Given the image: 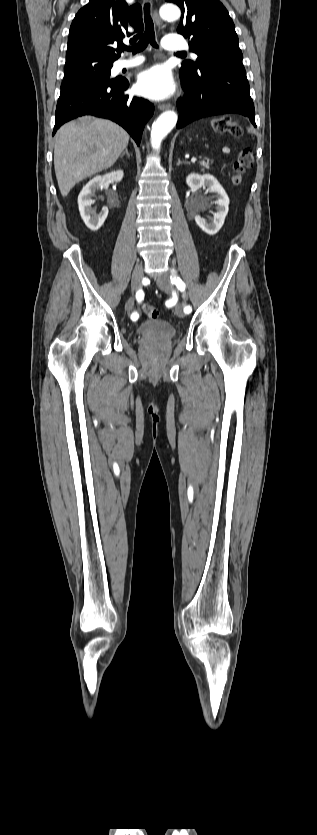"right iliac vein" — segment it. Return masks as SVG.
<instances>
[{
    "label": "right iliac vein",
    "instance_id": "right-iliac-vein-1",
    "mask_svg": "<svg viewBox=\"0 0 317 835\" xmlns=\"http://www.w3.org/2000/svg\"><path fill=\"white\" fill-rule=\"evenodd\" d=\"M142 278H143V266H142V264H138V265H136V267H135V269H134V271H133V274H132V280H131V286H132V290H133L134 292H136L137 290H139V289L141 288V281H142ZM133 302H134V300H133L132 298H131V299H129V300L127 301V303H126V305H125V310H126V311H129V310H130V309L127 307V304H128V303H132V304H133Z\"/></svg>",
    "mask_w": 317,
    "mask_h": 835
}]
</instances>
